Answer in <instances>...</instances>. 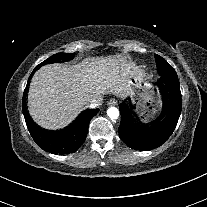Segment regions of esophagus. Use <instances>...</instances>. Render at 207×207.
I'll list each match as a JSON object with an SVG mask.
<instances>
[{"mask_svg":"<svg viewBox=\"0 0 207 207\" xmlns=\"http://www.w3.org/2000/svg\"><path fill=\"white\" fill-rule=\"evenodd\" d=\"M107 104L109 106H115L117 104V101L115 99H110Z\"/></svg>","mask_w":207,"mask_h":207,"instance_id":"esophagus-1","label":"esophagus"}]
</instances>
